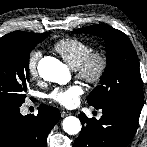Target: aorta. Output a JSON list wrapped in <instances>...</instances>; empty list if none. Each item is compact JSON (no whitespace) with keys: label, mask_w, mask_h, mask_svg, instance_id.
<instances>
[{"label":"aorta","mask_w":147,"mask_h":147,"mask_svg":"<svg viewBox=\"0 0 147 147\" xmlns=\"http://www.w3.org/2000/svg\"><path fill=\"white\" fill-rule=\"evenodd\" d=\"M38 73L46 81L58 84H67L71 75L67 65L54 57H44L38 63ZM63 130L69 135L78 134L81 130V122L77 117L69 116L63 120Z\"/></svg>","instance_id":"1"}]
</instances>
